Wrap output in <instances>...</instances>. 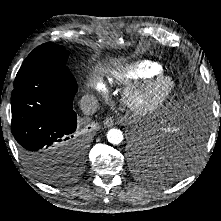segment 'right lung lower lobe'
Returning a JSON list of instances; mask_svg holds the SVG:
<instances>
[{
    "instance_id": "right-lung-lower-lobe-1",
    "label": "right lung lower lobe",
    "mask_w": 221,
    "mask_h": 221,
    "mask_svg": "<svg viewBox=\"0 0 221 221\" xmlns=\"http://www.w3.org/2000/svg\"><path fill=\"white\" fill-rule=\"evenodd\" d=\"M76 91L67 67L36 74L14 86L11 130L21 155L31 165H52L63 159L81 165L86 142L75 133Z\"/></svg>"
}]
</instances>
